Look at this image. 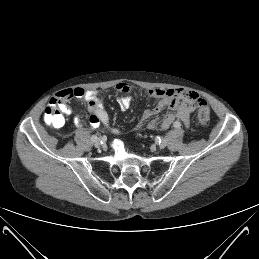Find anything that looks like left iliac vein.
<instances>
[{
  "mask_svg": "<svg viewBox=\"0 0 259 259\" xmlns=\"http://www.w3.org/2000/svg\"><path fill=\"white\" fill-rule=\"evenodd\" d=\"M158 146L161 149L165 148L167 146V140L166 139H162Z\"/></svg>",
  "mask_w": 259,
  "mask_h": 259,
  "instance_id": "1",
  "label": "left iliac vein"
}]
</instances>
